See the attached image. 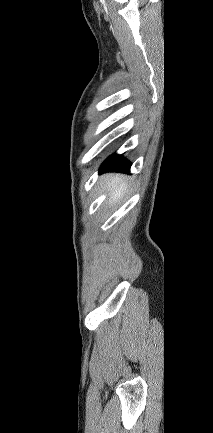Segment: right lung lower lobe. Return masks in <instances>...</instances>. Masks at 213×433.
Wrapping results in <instances>:
<instances>
[{
  "instance_id": "obj_1",
  "label": "right lung lower lobe",
  "mask_w": 213,
  "mask_h": 433,
  "mask_svg": "<svg viewBox=\"0 0 213 433\" xmlns=\"http://www.w3.org/2000/svg\"><path fill=\"white\" fill-rule=\"evenodd\" d=\"M131 163L121 155L113 154L107 158L100 167L101 172L118 171L126 172L130 170Z\"/></svg>"
}]
</instances>
